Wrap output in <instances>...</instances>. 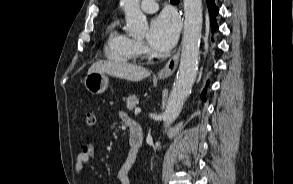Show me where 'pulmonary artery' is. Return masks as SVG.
Here are the masks:
<instances>
[{"mask_svg": "<svg viewBox=\"0 0 293 184\" xmlns=\"http://www.w3.org/2000/svg\"><path fill=\"white\" fill-rule=\"evenodd\" d=\"M140 6L146 13H153L158 9L157 0H142Z\"/></svg>", "mask_w": 293, "mask_h": 184, "instance_id": "1", "label": "pulmonary artery"}]
</instances>
